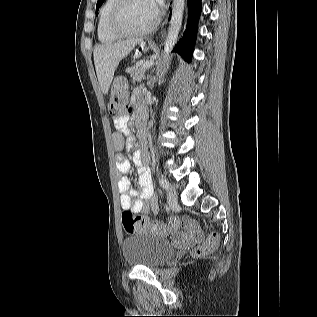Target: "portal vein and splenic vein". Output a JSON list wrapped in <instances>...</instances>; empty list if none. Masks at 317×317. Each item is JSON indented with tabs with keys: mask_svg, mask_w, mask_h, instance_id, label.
Here are the masks:
<instances>
[{
	"mask_svg": "<svg viewBox=\"0 0 317 317\" xmlns=\"http://www.w3.org/2000/svg\"><path fill=\"white\" fill-rule=\"evenodd\" d=\"M152 64H153L152 61H147L143 64V67L147 68V67H150Z\"/></svg>",
	"mask_w": 317,
	"mask_h": 317,
	"instance_id": "portal-vein-and-splenic-vein-1",
	"label": "portal vein and splenic vein"
}]
</instances>
